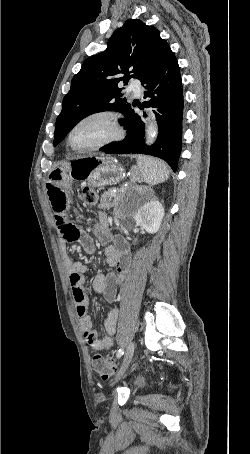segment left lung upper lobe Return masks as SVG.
<instances>
[{
    "mask_svg": "<svg viewBox=\"0 0 250 454\" xmlns=\"http://www.w3.org/2000/svg\"><path fill=\"white\" fill-rule=\"evenodd\" d=\"M170 52L155 27L138 19L127 20L113 33L106 50L87 58L73 77L56 120L54 146L88 115L118 111L125 116L131 104L123 98L118 84L121 81L127 84L130 78L141 80Z\"/></svg>",
    "mask_w": 250,
    "mask_h": 454,
    "instance_id": "5c2ea615",
    "label": "left lung upper lobe"
}]
</instances>
